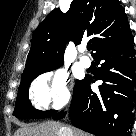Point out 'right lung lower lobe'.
<instances>
[{
	"mask_svg": "<svg viewBox=\"0 0 136 136\" xmlns=\"http://www.w3.org/2000/svg\"><path fill=\"white\" fill-rule=\"evenodd\" d=\"M133 35L101 48L95 55L101 64L98 76H86L74 90L70 106L71 123L96 136H130L136 108V61ZM103 80L99 92L90 88ZM135 102V103H134ZM61 119L62 113L53 114Z\"/></svg>",
	"mask_w": 136,
	"mask_h": 136,
	"instance_id": "right-lung-lower-lobe-1",
	"label": "right lung lower lobe"
}]
</instances>
